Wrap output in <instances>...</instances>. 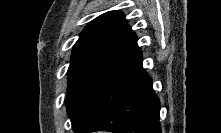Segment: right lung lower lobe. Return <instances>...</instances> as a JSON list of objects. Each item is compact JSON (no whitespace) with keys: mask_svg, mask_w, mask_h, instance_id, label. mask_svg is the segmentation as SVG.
Instances as JSON below:
<instances>
[{"mask_svg":"<svg viewBox=\"0 0 221 133\" xmlns=\"http://www.w3.org/2000/svg\"><path fill=\"white\" fill-rule=\"evenodd\" d=\"M160 101L142 54L99 75L72 124L75 133H161Z\"/></svg>","mask_w":221,"mask_h":133,"instance_id":"98d812e1","label":"right lung lower lobe"}]
</instances>
